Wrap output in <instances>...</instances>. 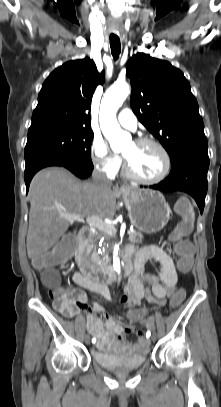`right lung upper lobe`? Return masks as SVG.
I'll list each match as a JSON object with an SVG mask.
<instances>
[{
    "instance_id": "right-lung-upper-lobe-1",
    "label": "right lung upper lobe",
    "mask_w": 221,
    "mask_h": 407,
    "mask_svg": "<svg viewBox=\"0 0 221 407\" xmlns=\"http://www.w3.org/2000/svg\"><path fill=\"white\" fill-rule=\"evenodd\" d=\"M104 72L98 73L93 60L69 61L45 80L38 96L29 129L45 126H71L91 129L90 107Z\"/></svg>"
}]
</instances>
